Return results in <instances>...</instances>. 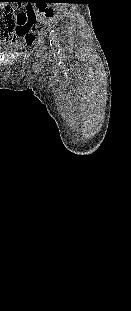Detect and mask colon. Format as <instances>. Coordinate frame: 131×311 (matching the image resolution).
I'll return each instance as SVG.
<instances>
[{"instance_id":"5ec220e1","label":"colon","mask_w":131,"mask_h":311,"mask_svg":"<svg viewBox=\"0 0 131 311\" xmlns=\"http://www.w3.org/2000/svg\"><path fill=\"white\" fill-rule=\"evenodd\" d=\"M35 18L34 15L26 16L24 13L0 6V33L4 28H8L7 33L10 34L22 22L25 23V26H29Z\"/></svg>"}]
</instances>
